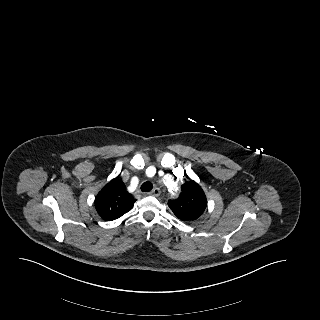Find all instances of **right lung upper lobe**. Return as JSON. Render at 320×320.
I'll return each instance as SVG.
<instances>
[{"mask_svg": "<svg viewBox=\"0 0 320 320\" xmlns=\"http://www.w3.org/2000/svg\"><path fill=\"white\" fill-rule=\"evenodd\" d=\"M136 199L118 178L107 183L95 197V208L100 217L112 221L130 211Z\"/></svg>", "mask_w": 320, "mask_h": 320, "instance_id": "1", "label": "right lung upper lobe"}]
</instances>
